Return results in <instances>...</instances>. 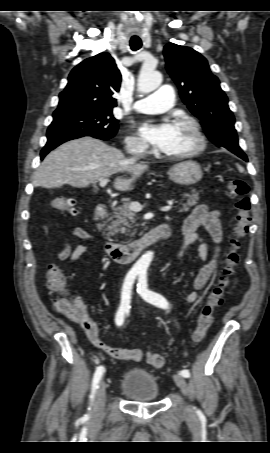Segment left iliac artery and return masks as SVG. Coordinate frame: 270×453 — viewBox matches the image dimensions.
I'll use <instances>...</instances> for the list:
<instances>
[{"instance_id": "obj_1", "label": "left iliac artery", "mask_w": 270, "mask_h": 453, "mask_svg": "<svg viewBox=\"0 0 270 453\" xmlns=\"http://www.w3.org/2000/svg\"><path fill=\"white\" fill-rule=\"evenodd\" d=\"M147 286V275L144 272H140L137 284V292L145 301L157 307L167 309L169 306L167 300L162 295L149 290ZM180 375L188 378L190 376V372L189 370L184 369L180 371Z\"/></svg>"}]
</instances>
